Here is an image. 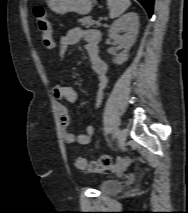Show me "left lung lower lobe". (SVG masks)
Segmentation results:
<instances>
[{"mask_svg":"<svg viewBox=\"0 0 188 213\" xmlns=\"http://www.w3.org/2000/svg\"><path fill=\"white\" fill-rule=\"evenodd\" d=\"M144 8L147 10L149 16L151 17L153 14V3L154 0H138Z\"/></svg>","mask_w":188,"mask_h":213,"instance_id":"0a47b994","label":"left lung lower lobe"}]
</instances>
